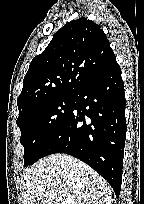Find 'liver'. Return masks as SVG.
Returning <instances> with one entry per match:
<instances>
[{
	"label": "liver",
	"instance_id": "liver-1",
	"mask_svg": "<svg viewBox=\"0 0 144 204\" xmlns=\"http://www.w3.org/2000/svg\"><path fill=\"white\" fill-rule=\"evenodd\" d=\"M23 204H111L112 188L90 166L66 154L40 159L21 177ZM54 191L55 196L50 193Z\"/></svg>",
	"mask_w": 144,
	"mask_h": 204
}]
</instances>
